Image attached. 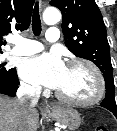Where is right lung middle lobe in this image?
Here are the masks:
<instances>
[{
    "label": "right lung middle lobe",
    "mask_w": 117,
    "mask_h": 131,
    "mask_svg": "<svg viewBox=\"0 0 117 131\" xmlns=\"http://www.w3.org/2000/svg\"><path fill=\"white\" fill-rule=\"evenodd\" d=\"M2 53V52H0ZM6 63H0V79H11L16 72L15 68L6 69L5 68Z\"/></svg>",
    "instance_id": "1"
}]
</instances>
